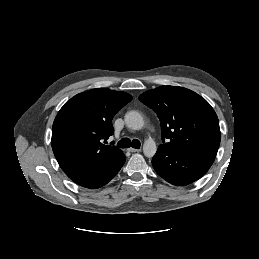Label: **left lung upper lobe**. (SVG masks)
Wrapping results in <instances>:
<instances>
[{
    "mask_svg": "<svg viewBox=\"0 0 259 259\" xmlns=\"http://www.w3.org/2000/svg\"><path fill=\"white\" fill-rule=\"evenodd\" d=\"M139 100L160 120L161 146L179 154L216 157L221 139L219 121L203 97L183 87L161 86L144 92Z\"/></svg>",
    "mask_w": 259,
    "mask_h": 259,
    "instance_id": "5c2ea615",
    "label": "left lung upper lobe"
}]
</instances>
